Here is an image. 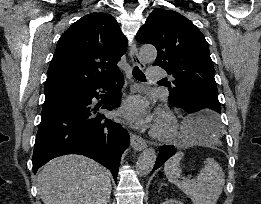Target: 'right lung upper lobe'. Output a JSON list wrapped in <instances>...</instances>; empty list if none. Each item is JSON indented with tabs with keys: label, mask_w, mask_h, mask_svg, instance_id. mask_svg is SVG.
<instances>
[{
	"label": "right lung upper lobe",
	"mask_w": 261,
	"mask_h": 204,
	"mask_svg": "<svg viewBox=\"0 0 261 204\" xmlns=\"http://www.w3.org/2000/svg\"><path fill=\"white\" fill-rule=\"evenodd\" d=\"M126 37L107 13H90L73 23L60 37L48 69L45 95L85 87L119 72Z\"/></svg>",
	"instance_id": "obj_1"
}]
</instances>
